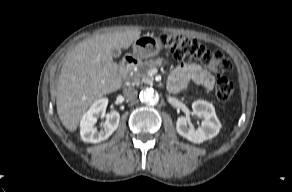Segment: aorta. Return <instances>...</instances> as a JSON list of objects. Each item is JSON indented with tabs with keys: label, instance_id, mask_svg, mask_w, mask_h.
Masks as SVG:
<instances>
[{
	"label": "aorta",
	"instance_id": "1",
	"mask_svg": "<svg viewBox=\"0 0 292 192\" xmlns=\"http://www.w3.org/2000/svg\"><path fill=\"white\" fill-rule=\"evenodd\" d=\"M139 98L140 101L146 105H156L159 101L158 93L152 88L142 90Z\"/></svg>",
	"mask_w": 292,
	"mask_h": 192
}]
</instances>
